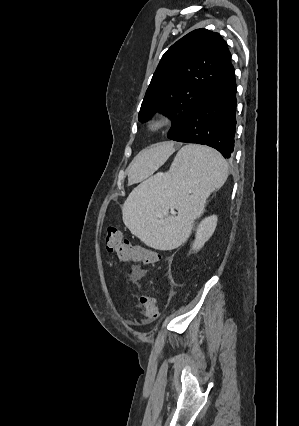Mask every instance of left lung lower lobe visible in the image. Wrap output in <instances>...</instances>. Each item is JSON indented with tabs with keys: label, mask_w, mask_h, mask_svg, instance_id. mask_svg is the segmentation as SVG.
Listing matches in <instances>:
<instances>
[{
	"label": "left lung lower lobe",
	"mask_w": 299,
	"mask_h": 426,
	"mask_svg": "<svg viewBox=\"0 0 299 426\" xmlns=\"http://www.w3.org/2000/svg\"><path fill=\"white\" fill-rule=\"evenodd\" d=\"M236 82L234 67L193 110L174 141L197 143L217 149L225 158L234 151L236 127Z\"/></svg>",
	"instance_id": "obj_1"
}]
</instances>
